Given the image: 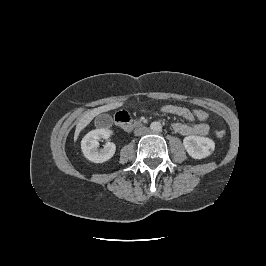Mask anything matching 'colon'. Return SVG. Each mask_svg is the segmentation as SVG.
<instances>
[{
    "mask_svg": "<svg viewBox=\"0 0 266 266\" xmlns=\"http://www.w3.org/2000/svg\"><path fill=\"white\" fill-rule=\"evenodd\" d=\"M192 113H193L194 117L199 121H205L209 118L208 113L202 109H195V110H193ZM216 136L218 138H223L225 136V131L224 130L216 131Z\"/></svg>",
    "mask_w": 266,
    "mask_h": 266,
    "instance_id": "colon-1",
    "label": "colon"
}]
</instances>
